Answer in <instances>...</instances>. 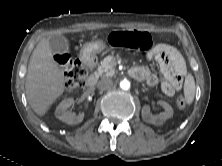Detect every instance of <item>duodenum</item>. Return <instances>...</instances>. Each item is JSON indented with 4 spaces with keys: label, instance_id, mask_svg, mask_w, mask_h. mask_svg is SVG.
I'll use <instances>...</instances> for the list:
<instances>
[{
    "label": "duodenum",
    "instance_id": "obj_1",
    "mask_svg": "<svg viewBox=\"0 0 222 166\" xmlns=\"http://www.w3.org/2000/svg\"><path fill=\"white\" fill-rule=\"evenodd\" d=\"M82 61L84 65L90 70V74L86 81V86L87 88L92 89L94 88L97 82V74L94 72V68L97 64V58L92 55H85L83 56ZM131 75L134 78L135 76L139 79L141 78V74H139L137 71L131 70Z\"/></svg>",
    "mask_w": 222,
    "mask_h": 166
}]
</instances>
